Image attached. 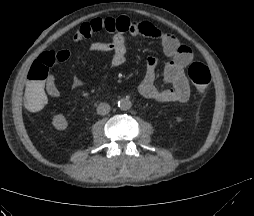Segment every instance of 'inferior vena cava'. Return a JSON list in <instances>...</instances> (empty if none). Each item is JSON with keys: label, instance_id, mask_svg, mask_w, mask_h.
I'll use <instances>...</instances> for the list:
<instances>
[{"label": "inferior vena cava", "instance_id": "inferior-vena-cava-1", "mask_svg": "<svg viewBox=\"0 0 254 216\" xmlns=\"http://www.w3.org/2000/svg\"><path fill=\"white\" fill-rule=\"evenodd\" d=\"M110 111V105L108 103H100L97 106V113L99 115H106Z\"/></svg>", "mask_w": 254, "mask_h": 216}]
</instances>
